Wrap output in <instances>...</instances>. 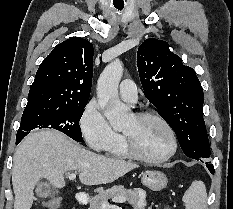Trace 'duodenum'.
<instances>
[{
	"mask_svg": "<svg viewBox=\"0 0 233 209\" xmlns=\"http://www.w3.org/2000/svg\"><path fill=\"white\" fill-rule=\"evenodd\" d=\"M76 201H77L78 204L84 205V204L87 203L88 198H87V196L84 193H78L76 195Z\"/></svg>",
	"mask_w": 233,
	"mask_h": 209,
	"instance_id": "1",
	"label": "duodenum"
}]
</instances>
